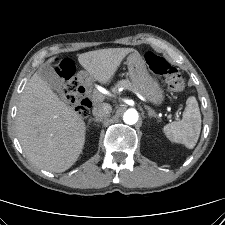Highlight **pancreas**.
<instances>
[{
  "label": "pancreas",
  "instance_id": "1",
  "mask_svg": "<svg viewBox=\"0 0 225 225\" xmlns=\"http://www.w3.org/2000/svg\"><path fill=\"white\" fill-rule=\"evenodd\" d=\"M119 87H123V88H127V89H130V90H136L133 85L130 83L129 80H121L119 81L116 86L113 88V91H116L117 88Z\"/></svg>",
  "mask_w": 225,
  "mask_h": 225
}]
</instances>
